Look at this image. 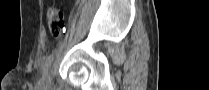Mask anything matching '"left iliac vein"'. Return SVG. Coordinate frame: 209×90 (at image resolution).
<instances>
[{
    "label": "left iliac vein",
    "instance_id": "1",
    "mask_svg": "<svg viewBox=\"0 0 209 90\" xmlns=\"http://www.w3.org/2000/svg\"><path fill=\"white\" fill-rule=\"evenodd\" d=\"M49 82H50V76L45 75L41 80V86L47 87V86H49Z\"/></svg>",
    "mask_w": 209,
    "mask_h": 90
}]
</instances>
